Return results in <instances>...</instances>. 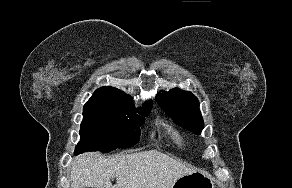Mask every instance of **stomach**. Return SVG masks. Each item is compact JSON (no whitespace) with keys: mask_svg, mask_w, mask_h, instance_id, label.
Listing matches in <instances>:
<instances>
[{"mask_svg":"<svg viewBox=\"0 0 292 188\" xmlns=\"http://www.w3.org/2000/svg\"><path fill=\"white\" fill-rule=\"evenodd\" d=\"M172 188H215L214 179L204 171H195L177 179Z\"/></svg>","mask_w":292,"mask_h":188,"instance_id":"0dacf381","label":"stomach"}]
</instances>
